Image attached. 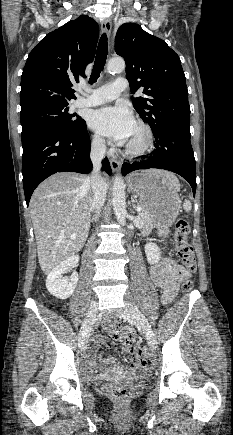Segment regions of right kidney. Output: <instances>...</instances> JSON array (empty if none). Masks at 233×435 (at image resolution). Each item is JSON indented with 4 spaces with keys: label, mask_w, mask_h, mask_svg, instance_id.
Returning <instances> with one entry per match:
<instances>
[{
    "label": "right kidney",
    "mask_w": 233,
    "mask_h": 435,
    "mask_svg": "<svg viewBox=\"0 0 233 435\" xmlns=\"http://www.w3.org/2000/svg\"><path fill=\"white\" fill-rule=\"evenodd\" d=\"M79 263V256L72 255L59 265H57L47 276L46 287L50 294L59 299H67L74 292L78 274L76 271L72 273L70 278L63 277V273L71 267H76Z\"/></svg>",
    "instance_id": "right-kidney-1"
}]
</instances>
